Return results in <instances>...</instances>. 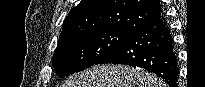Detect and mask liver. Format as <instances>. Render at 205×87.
Here are the masks:
<instances>
[{
	"mask_svg": "<svg viewBox=\"0 0 205 87\" xmlns=\"http://www.w3.org/2000/svg\"><path fill=\"white\" fill-rule=\"evenodd\" d=\"M163 82L142 69L124 65H94L71 76L65 87H163Z\"/></svg>",
	"mask_w": 205,
	"mask_h": 87,
	"instance_id": "obj_1",
	"label": "liver"
}]
</instances>
